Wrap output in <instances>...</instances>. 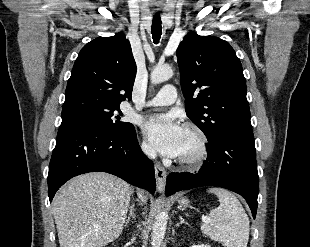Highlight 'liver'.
I'll return each mask as SVG.
<instances>
[{"label":"liver","instance_id":"6515ba94","mask_svg":"<svg viewBox=\"0 0 310 247\" xmlns=\"http://www.w3.org/2000/svg\"><path fill=\"white\" fill-rule=\"evenodd\" d=\"M131 186L113 175L92 172L71 179L55 195L53 215L60 247H103L118 238ZM146 202V196L139 191Z\"/></svg>","mask_w":310,"mask_h":247}]
</instances>
